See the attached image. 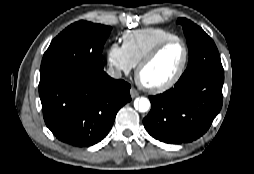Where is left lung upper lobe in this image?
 <instances>
[{
	"label": "left lung upper lobe",
	"mask_w": 254,
	"mask_h": 174,
	"mask_svg": "<svg viewBox=\"0 0 254 174\" xmlns=\"http://www.w3.org/2000/svg\"><path fill=\"white\" fill-rule=\"evenodd\" d=\"M187 39L189 61L179 81L189 80L206 72L223 73L219 52L213 40L198 25L186 18H179Z\"/></svg>",
	"instance_id": "5c2ea615"
}]
</instances>
